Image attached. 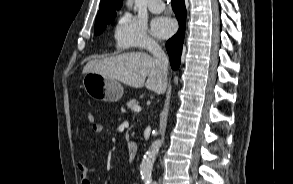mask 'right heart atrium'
I'll use <instances>...</instances> for the list:
<instances>
[{
  "mask_svg": "<svg viewBox=\"0 0 293 184\" xmlns=\"http://www.w3.org/2000/svg\"><path fill=\"white\" fill-rule=\"evenodd\" d=\"M114 41L118 51L138 49L156 52L159 50V45L149 34L146 24L128 13L117 20Z\"/></svg>",
  "mask_w": 293,
  "mask_h": 184,
  "instance_id": "obj_1",
  "label": "right heart atrium"
}]
</instances>
